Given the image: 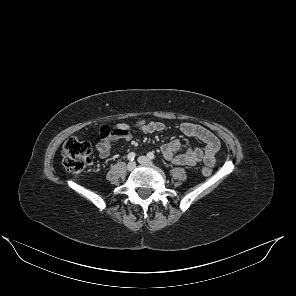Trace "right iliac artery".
Listing matches in <instances>:
<instances>
[{"label": "right iliac artery", "mask_w": 296, "mask_h": 296, "mask_svg": "<svg viewBox=\"0 0 296 296\" xmlns=\"http://www.w3.org/2000/svg\"><path fill=\"white\" fill-rule=\"evenodd\" d=\"M136 154L134 152H131L128 154L127 158L129 161H133L135 159Z\"/></svg>", "instance_id": "obj_1"}]
</instances>
